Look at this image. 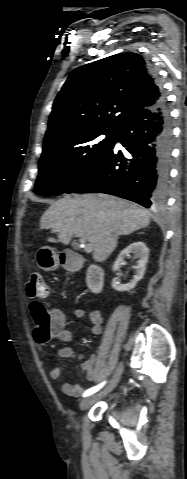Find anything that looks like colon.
Here are the masks:
<instances>
[{
    "label": "colon",
    "mask_w": 187,
    "mask_h": 479,
    "mask_svg": "<svg viewBox=\"0 0 187 479\" xmlns=\"http://www.w3.org/2000/svg\"><path fill=\"white\" fill-rule=\"evenodd\" d=\"M27 295L31 299H44L48 295V287L40 272H33L26 286ZM30 312L35 323V330L40 339L49 335L51 325V314L40 302L30 305Z\"/></svg>",
    "instance_id": "5ec220e1"
}]
</instances>
